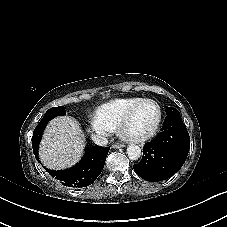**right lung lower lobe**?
Wrapping results in <instances>:
<instances>
[{
	"label": "right lung lower lobe",
	"mask_w": 227,
	"mask_h": 227,
	"mask_svg": "<svg viewBox=\"0 0 227 227\" xmlns=\"http://www.w3.org/2000/svg\"><path fill=\"white\" fill-rule=\"evenodd\" d=\"M47 123H39L33 132L32 147L36 160L38 158L39 142ZM109 147L92 146L85 149V155L74 167L53 171L45 170L64 186L82 188L93 184L103 170ZM40 162V161H39Z\"/></svg>",
	"instance_id": "98d812e1"
}]
</instances>
